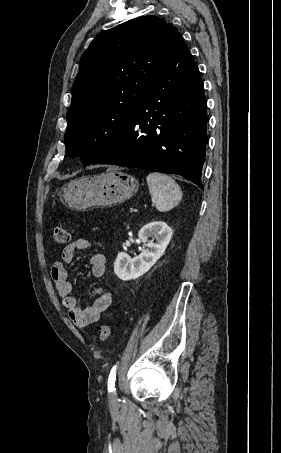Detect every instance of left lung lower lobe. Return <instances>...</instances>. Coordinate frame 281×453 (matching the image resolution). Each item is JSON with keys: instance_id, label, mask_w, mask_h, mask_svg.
<instances>
[{"instance_id": "0a47b994", "label": "left lung lower lobe", "mask_w": 281, "mask_h": 453, "mask_svg": "<svg viewBox=\"0 0 281 453\" xmlns=\"http://www.w3.org/2000/svg\"><path fill=\"white\" fill-rule=\"evenodd\" d=\"M206 124L203 82L179 34L126 128L93 164L178 174L204 189Z\"/></svg>"}]
</instances>
